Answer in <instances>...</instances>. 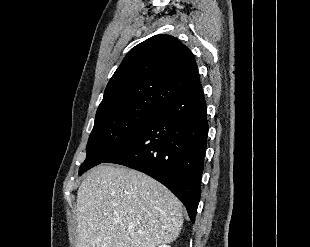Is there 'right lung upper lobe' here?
I'll list each match as a JSON object with an SVG mask.
<instances>
[{
	"label": "right lung upper lobe",
	"mask_w": 310,
	"mask_h": 247,
	"mask_svg": "<svg viewBox=\"0 0 310 247\" xmlns=\"http://www.w3.org/2000/svg\"><path fill=\"white\" fill-rule=\"evenodd\" d=\"M201 88L192 52L173 36L155 35L127 53L96 116L135 106L160 110Z\"/></svg>",
	"instance_id": "right-lung-upper-lobe-1"
}]
</instances>
